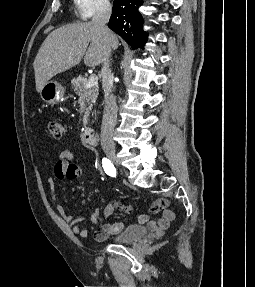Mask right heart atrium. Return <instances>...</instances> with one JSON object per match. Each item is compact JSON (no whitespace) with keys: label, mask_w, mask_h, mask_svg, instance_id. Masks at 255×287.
Instances as JSON below:
<instances>
[{"label":"right heart atrium","mask_w":255,"mask_h":287,"mask_svg":"<svg viewBox=\"0 0 255 287\" xmlns=\"http://www.w3.org/2000/svg\"><path fill=\"white\" fill-rule=\"evenodd\" d=\"M61 48H81V47H61Z\"/></svg>","instance_id":"obj_1"}]
</instances>
